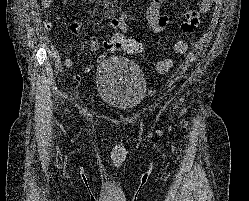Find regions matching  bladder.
Wrapping results in <instances>:
<instances>
[{
    "label": "bladder",
    "instance_id": "31cf9c89",
    "mask_svg": "<svg viewBox=\"0 0 249 201\" xmlns=\"http://www.w3.org/2000/svg\"><path fill=\"white\" fill-rule=\"evenodd\" d=\"M96 85L100 100L108 106L130 112L143 101L146 79L139 66L126 57H107L97 67Z\"/></svg>",
    "mask_w": 249,
    "mask_h": 201
}]
</instances>
